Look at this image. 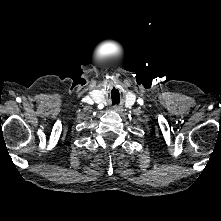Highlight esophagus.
Instances as JSON below:
<instances>
[{"instance_id":"34e87169","label":"esophagus","mask_w":221,"mask_h":221,"mask_svg":"<svg viewBox=\"0 0 221 221\" xmlns=\"http://www.w3.org/2000/svg\"><path fill=\"white\" fill-rule=\"evenodd\" d=\"M112 109H113L115 112H118V113L122 111V109H121L119 106H116V105L113 106Z\"/></svg>"}]
</instances>
